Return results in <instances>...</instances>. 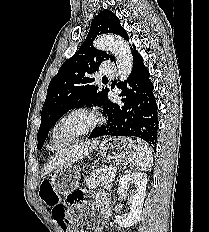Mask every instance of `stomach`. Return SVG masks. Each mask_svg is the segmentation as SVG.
Returning a JSON list of instances; mask_svg holds the SVG:
<instances>
[{
  "instance_id": "1",
  "label": "stomach",
  "mask_w": 209,
  "mask_h": 232,
  "mask_svg": "<svg viewBox=\"0 0 209 232\" xmlns=\"http://www.w3.org/2000/svg\"><path fill=\"white\" fill-rule=\"evenodd\" d=\"M100 155L107 161H118L129 157L136 149L134 141L127 137L104 138L99 145ZM81 183L80 171L73 164L57 169L51 178L55 192L68 194Z\"/></svg>"
}]
</instances>
